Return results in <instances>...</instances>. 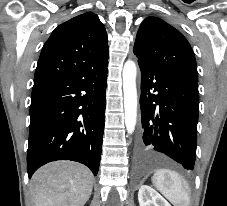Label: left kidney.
Returning a JSON list of instances; mask_svg holds the SVG:
<instances>
[{
    "label": "left kidney",
    "instance_id": "obj_1",
    "mask_svg": "<svg viewBox=\"0 0 227 206\" xmlns=\"http://www.w3.org/2000/svg\"><path fill=\"white\" fill-rule=\"evenodd\" d=\"M138 201L140 206H171L158 192L147 185L140 187Z\"/></svg>",
    "mask_w": 227,
    "mask_h": 206
}]
</instances>
